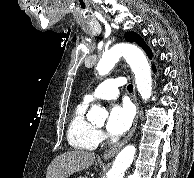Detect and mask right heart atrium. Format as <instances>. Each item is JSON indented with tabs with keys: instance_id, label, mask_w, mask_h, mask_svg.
I'll use <instances>...</instances> for the list:
<instances>
[{
	"instance_id": "right-heart-atrium-1",
	"label": "right heart atrium",
	"mask_w": 194,
	"mask_h": 178,
	"mask_svg": "<svg viewBox=\"0 0 194 178\" xmlns=\"http://www.w3.org/2000/svg\"><path fill=\"white\" fill-rule=\"evenodd\" d=\"M97 136L99 141H103L106 138L105 134L102 131H97Z\"/></svg>"
}]
</instances>
